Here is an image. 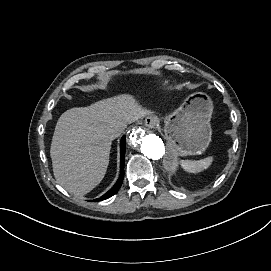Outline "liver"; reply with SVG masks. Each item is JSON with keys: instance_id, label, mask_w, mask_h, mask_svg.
Listing matches in <instances>:
<instances>
[{"instance_id": "obj_1", "label": "liver", "mask_w": 271, "mask_h": 271, "mask_svg": "<svg viewBox=\"0 0 271 271\" xmlns=\"http://www.w3.org/2000/svg\"><path fill=\"white\" fill-rule=\"evenodd\" d=\"M150 113L129 94L65 111L50 148L57 182L77 196L90 192L105 176L112 140L128 124Z\"/></svg>"}]
</instances>
